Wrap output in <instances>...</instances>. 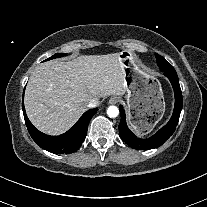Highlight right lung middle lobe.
I'll use <instances>...</instances> for the list:
<instances>
[{"label": "right lung middle lobe", "mask_w": 207, "mask_h": 207, "mask_svg": "<svg viewBox=\"0 0 207 207\" xmlns=\"http://www.w3.org/2000/svg\"><path fill=\"white\" fill-rule=\"evenodd\" d=\"M66 54H55L53 55L52 57L48 58L47 60H50V59H54V58H57V57H62V56H65ZM46 60V61H47Z\"/></svg>", "instance_id": "dd1d6c3e"}]
</instances>
